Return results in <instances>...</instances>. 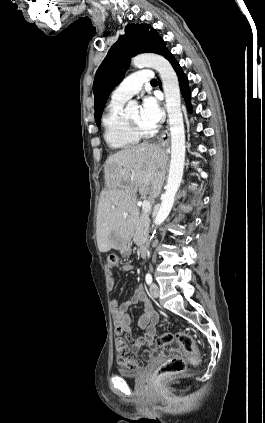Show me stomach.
<instances>
[{"label":"stomach","instance_id":"1","mask_svg":"<svg viewBox=\"0 0 265 423\" xmlns=\"http://www.w3.org/2000/svg\"><path fill=\"white\" fill-rule=\"evenodd\" d=\"M119 250L124 256L130 255V242H129V240H125V241L121 242L120 246H119Z\"/></svg>","mask_w":265,"mask_h":423}]
</instances>
